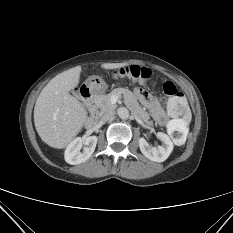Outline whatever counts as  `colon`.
<instances>
[{
    "label": "colon",
    "instance_id": "obj_1",
    "mask_svg": "<svg viewBox=\"0 0 233 233\" xmlns=\"http://www.w3.org/2000/svg\"><path fill=\"white\" fill-rule=\"evenodd\" d=\"M121 78L135 81H146L151 76V71L144 67L132 65L120 68L116 72ZM163 93L168 97V112L172 119L168 124V132L177 144H183L187 138V122L189 119V107L184 95L177 89L174 83L163 81Z\"/></svg>",
    "mask_w": 233,
    "mask_h": 233
}]
</instances>
